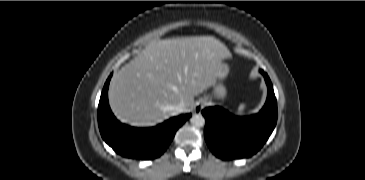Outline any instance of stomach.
Masks as SVG:
<instances>
[{
  "mask_svg": "<svg viewBox=\"0 0 365 180\" xmlns=\"http://www.w3.org/2000/svg\"><path fill=\"white\" fill-rule=\"evenodd\" d=\"M228 73H229L228 65L221 62V64L219 65L217 79H216L215 83L213 84V87H214L213 94L218 99H223L226 96L225 87L218 81L224 79L228 75Z\"/></svg>",
  "mask_w": 365,
  "mask_h": 180,
  "instance_id": "obj_1",
  "label": "stomach"
}]
</instances>
